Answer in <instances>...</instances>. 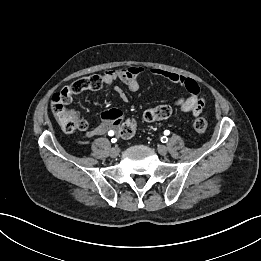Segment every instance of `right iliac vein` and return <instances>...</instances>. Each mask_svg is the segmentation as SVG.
Listing matches in <instances>:
<instances>
[{"label":"right iliac vein","instance_id":"obj_1","mask_svg":"<svg viewBox=\"0 0 261 261\" xmlns=\"http://www.w3.org/2000/svg\"><path fill=\"white\" fill-rule=\"evenodd\" d=\"M119 152H120L119 148L114 147L110 150V156L115 158L119 155Z\"/></svg>","mask_w":261,"mask_h":261}]
</instances>
